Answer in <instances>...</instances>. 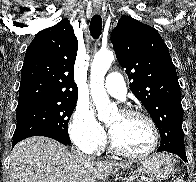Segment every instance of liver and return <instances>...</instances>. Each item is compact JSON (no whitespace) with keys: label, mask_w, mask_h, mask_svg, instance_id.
I'll return each instance as SVG.
<instances>
[{"label":"liver","mask_w":196,"mask_h":182,"mask_svg":"<svg viewBox=\"0 0 196 182\" xmlns=\"http://www.w3.org/2000/svg\"><path fill=\"white\" fill-rule=\"evenodd\" d=\"M130 166L74 155L56 140L35 136L11 152L9 182H105L113 170Z\"/></svg>","instance_id":"6515ba94"}]
</instances>
